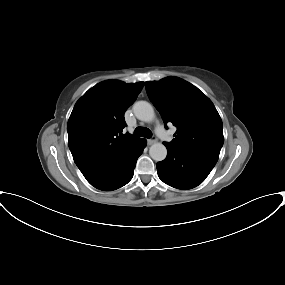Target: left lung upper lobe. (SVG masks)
Masks as SVG:
<instances>
[{
  "label": "left lung upper lobe",
  "mask_w": 285,
  "mask_h": 285,
  "mask_svg": "<svg viewBox=\"0 0 285 285\" xmlns=\"http://www.w3.org/2000/svg\"><path fill=\"white\" fill-rule=\"evenodd\" d=\"M145 87L165 127L167 123L177 127L175 138L165 144L217 162L224 142L223 124L211 100L177 77L148 81Z\"/></svg>",
  "instance_id": "5c2ea615"
}]
</instances>
